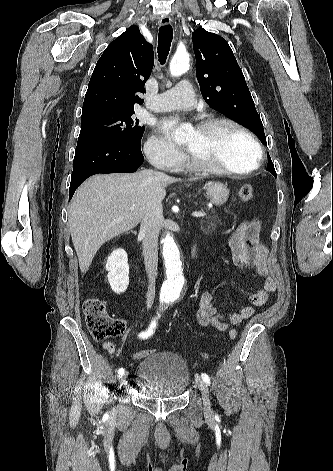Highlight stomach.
<instances>
[{"label": "stomach", "instance_id": "0dacf381", "mask_svg": "<svg viewBox=\"0 0 333 471\" xmlns=\"http://www.w3.org/2000/svg\"><path fill=\"white\" fill-rule=\"evenodd\" d=\"M207 197L210 201L217 205H223L229 197V189L226 185L220 182L208 183L206 185Z\"/></svg>", "mask_w": 333, "mask_h": 471}]
</instances>
